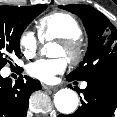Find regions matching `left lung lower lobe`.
<instances>
[{"label": "left lung lower lobe", "instance_id": "left-lung-lower-lobe-1", "mask_svg": "<svg viewBox=\"0 0 117 117\" xmlns=\"http://www.w3.org/2000/svg\"><path fill=\"white\" fill-rule=\"evenodd\" d=\"M68 81H73L68 75ZM81 92L82 106L71 115L58 117H111L117 108V71L95 75L88 79ZM80 93V92H79Z\"/></svg>", "mask_w": 117, "mask_h": 117}]
</instances>
